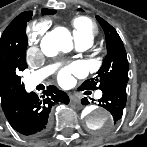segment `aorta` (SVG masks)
<instances>
[{
    "label": "aorta",
    "instance_id": "1",
    "mask_svg": "<svg viewBox=\"0 0 147 147\" xmlns=\"http://www.w3.org/2000/svg\"><path fill=\"white\" fill-rule=\"evenodd\" d=\"M72 47V37L65 28L55 29L46 34L41 41V50L48 57L56 56L59 51L69 52ZM82 116L87 127L93 130H104L113 122L111 114L102 107H86Z\"/></svg>",
    "mask_w": 147,
    "mask_h": 147
}]
</instances>
